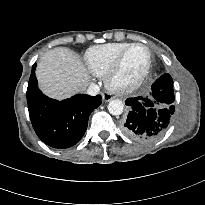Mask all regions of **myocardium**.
<instances>
[{"label": "myocardium", "instance_id": "myocardium-1", "mask_svg": "<svg viewBox=\"0 0 205 205\" xmlns=\"http://www.w3.org/2000/svg\"><path fill=\"white\" fill-rule=\"evenodd\" d=\"M134 47H143L148 54V61L145 68L142 72L130 81H121L119 80V74L121 72L123 61L128 54V52ZM152 53L150 48L143 43H132L128 47H126L116 58L111 68L105 75V83L106 86L117 93H130L136 89H138L148 77L151 68H152Z\"/></svg>", "mask_w": 205, "mask_h": 205}]
</instances>
